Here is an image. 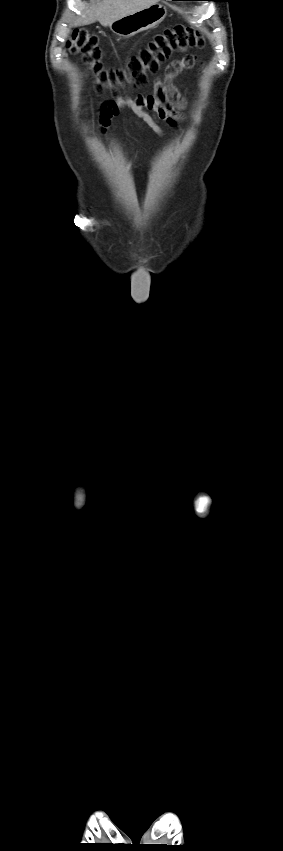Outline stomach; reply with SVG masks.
I'll use <instances>...</instances> for the list:
<instances>
[{"label":"stomach","instance_id":"0dacf381","mask_svg":"<svg viewBox=\"0 0 283 851\" xmlns=\"http://www.w3.org/2000/svg\"><path fill=\"white\" fill-rule=\"evenodd\" d=\"M167 15L165 6L155 3L135 13L115 20L109 26L119 37L129 38L159 25Z\"/></svg>","mask_w":283,"mask_h":851}]
</instances>
